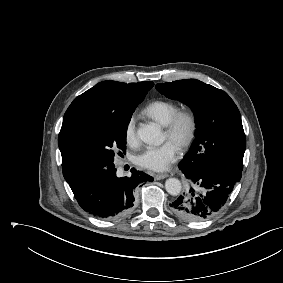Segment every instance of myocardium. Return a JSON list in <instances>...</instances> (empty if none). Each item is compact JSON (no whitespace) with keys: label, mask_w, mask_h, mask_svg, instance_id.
<instances>
[{"label":"myocardium","mask_w":283,"mask_h":283,"mask_svg":"<svg viewBox=\"0 0 283 283\" xmlns=\"http://www.w3.org/2000/svg\"><path fill=\"white\" fill-rule=\"evenodd\" d=\"M198 121L196 114L190 109L179 110L165 127L169 140L175 141L181 149L188 148L197 133Z\"/></svg>","instance_id":"1"}]
</instances>
